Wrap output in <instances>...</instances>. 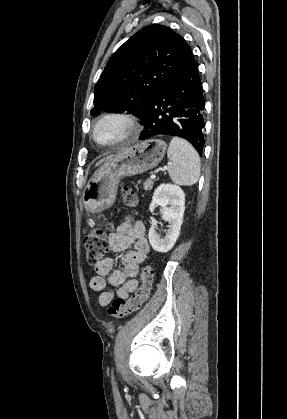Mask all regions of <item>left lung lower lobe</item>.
I'll return each instance as SVG.
<instances>
[{
  "mask_svg": "<svg viewBox=\"0 0 287 419\" xmlns=\"http://www.w3.org/2000/svg\"><path fill=\"white\" fill-rule=\"evenodd\" d=\"M203 109V89L195 61L150 100L139 139L158 135L181 137L201 155L204 147Z\"/></svg>",
  "mask_w": 287,
  "mask_h": 419,
  "instance_id": "0a47b994",
  "label": "left lung lower lobe"
}]
</instances>
